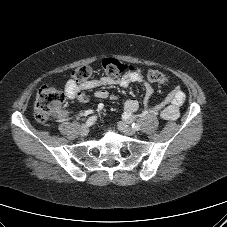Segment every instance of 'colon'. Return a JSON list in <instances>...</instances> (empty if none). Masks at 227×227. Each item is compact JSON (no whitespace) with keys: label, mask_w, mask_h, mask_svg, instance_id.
Segmentation results:
<instances>
[{"label":"colon","mask_w":227,"mask_h":227,"mask_svg":"<svg viewBox=\"0 0 227 227\" xmlns=\"http://www.w3.org/2000/svg\"><path fill=\"white\" fill-rule=\"evenodd\" d=\"M102 67L108 77H118L121 74L135 71L132 65L126 64L115 58H106L102 62ZM145 78L152 83L163 85L167 82L165 74L158 70H141ZM92 70L89 66L77 68L72 76L76 83H83L91 76ZM66 101V95L51 85L42 86L36 96L34 104V116L41 123L47 122L50 118L61 112Z\"/></svg>","instance_id":"5ec220e1"}]
</instances>
